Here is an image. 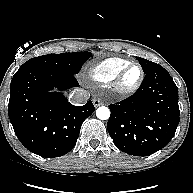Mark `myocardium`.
Segmentation results:
<instances>
[{
	"label": "myocardium",
	"instance_id": "f54148a6",
	"mask_svg": "<svg viewBox=\"0 0 193 193\" xmlns=\"http://www.w3.org/2000/svg\"><path fill=\"white\" fill-rule=\"evenodd\" d=\"M132 67H138L140 70V76L138 80L131 86H126L123 83L124 77L126 73L132 68ZM145 77V72L143 67L136 62H131L128 65H126L124 68H122L119 73L116 75L115 79L113 80V88L114 91L120 95V96H128L133 94L138 90V88L141 86L143 80Z\"/></svg>",
	"mask_w": 193,
	"mask_h": 193
}]
</instances>
